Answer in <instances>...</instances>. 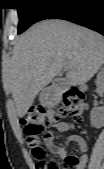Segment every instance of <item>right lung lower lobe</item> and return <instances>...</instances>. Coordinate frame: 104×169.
<instances>
[{
  "mask_svg": "<svg viewBox=\"0 0 104 169\" xmlns=\"http://www.w3.org/2000/svg\"><path fill=\"white\" fill-rule=\"evenodd\" d=\"M48 19L67 20L104 35V0H74Z\"/></svg>",
  "mask_w": 104,
  "mask_h": 169,
  "instance_id": "98d812e1",
  "label": "right lung lower lobe"
}]
</instances>
